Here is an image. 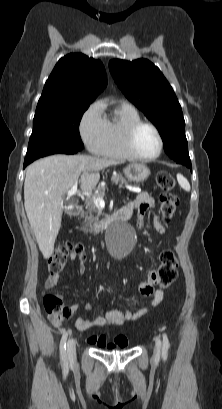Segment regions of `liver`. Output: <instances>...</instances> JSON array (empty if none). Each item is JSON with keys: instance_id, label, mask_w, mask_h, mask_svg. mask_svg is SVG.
Returning a JSON list of instances; mask_svg holds the SVG:
<instances>
[{"instance_id": "6515ba94", "label": "liver", "mask_w": 222, "mask_h": 409, "mask_svg": "<svg viewBox=\"0 0 222 409\" xmlns=\"http://www.w3.org/2000/svg\"><path fill=\"white\" fill-rule=\"evenodd\" d=\"M119 161L88 155H53L32 163L26 171L24 206L43 257L49 258L61 227L62 197L74 182L82 190H93L99 171Z\"/></svg>"}]
</instances>
